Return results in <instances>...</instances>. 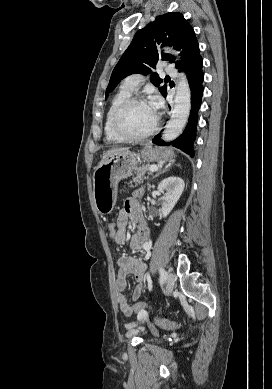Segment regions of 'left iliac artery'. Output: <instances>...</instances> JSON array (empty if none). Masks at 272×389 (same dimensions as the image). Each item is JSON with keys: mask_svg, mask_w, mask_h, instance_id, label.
<instances>
[{"mask_svg": "<svg viewBox=\"0 0 272 389\" xmlns=\"http://www.w3.org/2000/svg\"><path fill=\"white\" fill-rule=\"evenodd\" d=\"M159 273H160V284L162 285L164 282H165V280H166V272H165V270L162 268V267H160L159 268ZM148 286H149V290H151L152 289V282H151V280H149V282H148Z\"/></svg>", "mask_w": 272, "mask_h": 389, "instance_id": "obj_1", "label": "left iliac artery"}]
</instances>
